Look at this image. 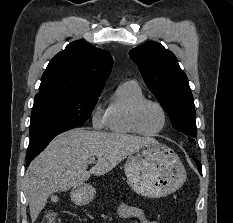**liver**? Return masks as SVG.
Instances as JSON below:
<instances>
[{
  "mask_svg": "<svg viewBox=\"0 0 233 223\" xmlns=\"http://www.w3.org/2000/svg\"><path fill=\"white\" fill-rule=\"evenodd\" d=\"M88 129L76 127L60 133L32 159L24 175L31 221L37 219L48 197L55 191L78 187L91 175H105L144 143H157L153 137ZM94 161L95 165L87 169Z\"/></svg>",
  "mask_w": 233,
  "mask_h": 223,
  "instance_id": "obj_1",
  "label": "liver"
}]
</instances>
